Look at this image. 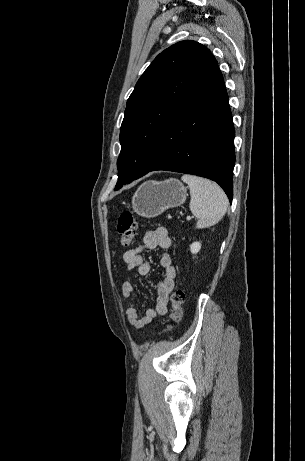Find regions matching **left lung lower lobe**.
I'll return each instance as SVG.
<instances>
[{"label":"left lung lower lobe","mask_w":305,"mask_h":461,"mask_svg":"<svg viewBox=\"0 0 305 461\" xmlns=\"http://www.w3.org/2000/svg\"><path fill=\"white\" fill-rule=\"evenodd\" d=\"M234 165L232 115L215 62L166 124L147 173L167 170L209 178L222 187L231 202Z\"/></svg>","instance_id":"left-lung-lower-lobe-1"}]
</instances>
